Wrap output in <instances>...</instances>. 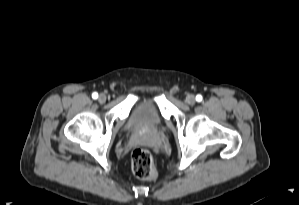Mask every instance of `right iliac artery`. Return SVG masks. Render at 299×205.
<instances>
[{
  "label": "right iliac artery",
  "mask_w": 299,
  "mask_h": 205,
  "mask_svg": "<svg viewBox=\"0 0 299 205\" xmlns=\"http://www.w3.org/2000/svg\"><path fill=\"white\" fill-rule=\"evenodd\" d=\"M92 98H93V99H97V98H98V93H97V92H94V93L92 94Z\"/></svg>",
  "instance_id": "1"
}]
</instances>
